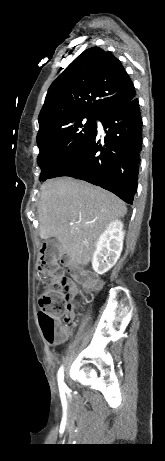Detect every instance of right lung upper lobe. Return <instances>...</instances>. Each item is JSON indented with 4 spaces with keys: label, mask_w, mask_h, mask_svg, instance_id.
<instances>
[{
    "label": "right lung upper lobe",
    "mask_w": 165,
    "mask_h": 461,
    "mask_svg": "<svg viewBox=\"0 0 165 461\" xmlns=\"http://www.w3.org/2000/svg\"><path fill=\"white\" fill-rule=\"evenodd\" d=\"M134 85L109 51L92 47L81 53L51 84L39 114L37 137L62 121L100 118L135 98Z\"/></svg>",
    "instance_id": "obj_1"
}]
</instances>
